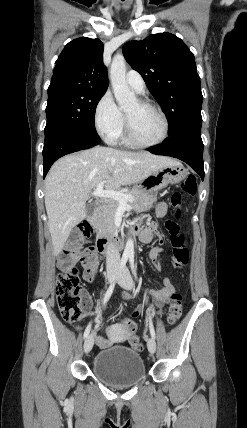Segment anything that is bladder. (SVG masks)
Returning <instances> with one entry per match:
<instances>
[{"label": "bladder", "instance_id": "obj_1", "mask_svg": "<svg viewBox=\"0 0 247 428\" xmlns=\"http://www.w3.org/2000/svg\"><path fill=\"white\" fill-rule=\"evenodd\" d=\"M94 375L112 386L132 385L145 376V364L138 351L125 346L100 350L92 365Z\"/></svg>", "mask_w": 247, "mask_h": 428}]
</instances>
